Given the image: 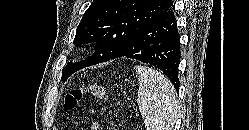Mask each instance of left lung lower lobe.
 <instances>
[{
	"mask_svg": "<svg viewBox=\"0 0 249 130\" xmlns=\"http://www.w3.org/2000/svg\"><path fill=\"white\" fill-rule=\"evenodd\" d=\"M180 55V38L171 7L139 30L110 60L127 57L151 64L163 71L178 91Z\"/></svg>",
	"mask_w": 249,
	"mask_h": 130,
	"instance_id": "left-lung-lower-lobe-1",
	"label": "left lung lower lobe"
}]
</instances>
